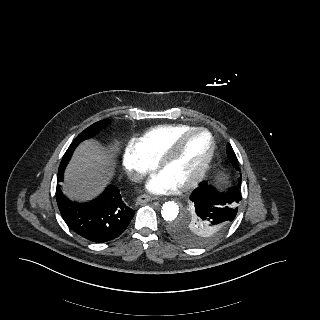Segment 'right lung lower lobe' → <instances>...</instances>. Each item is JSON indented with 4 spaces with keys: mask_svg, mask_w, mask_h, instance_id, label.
Segmentation results:
<instances>
[{
    "mask_svg": "<svg viewBox=\"0 0 320 320\" xmlns=\"http://www.w3.org/2000/svg\"><path fill=\"white\" fill-rule=\"evenodd\" d=\"M62 181L63 174L58 175L57 182ZM56 200L62 218L70 229L96 243L118 237L135 213L122 200L120 191L115 186H108L99 197L88 203L72 202L57 186Z\"/></svg>",
    "mask_w": 320,
    "mask_h": 320,
    "instance_id": "1",
    "label": "right lung lower lobe"
}]
</instances>
